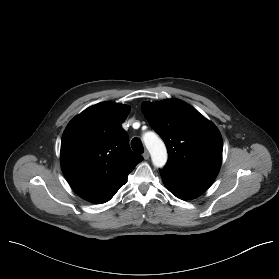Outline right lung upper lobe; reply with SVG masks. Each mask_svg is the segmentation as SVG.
<instances>
[{"instance_id": "right-lung-upper-lobe-1", "label": "right lung upper lobe", "mask_w": 279, "mask_h": 279, "mask_svg": "<svg viewBox=\"0 0 279 279\" xmlns=\"http://www.w3.org/2000/svg\"><path fill=\"white\" fill-rule=\"evenodd\" d=\"M130 108L102 102L85 109L67 125L61 140V168L73 190L89 202L110 196L143 160L129 147L121 123Z\"/></svg>"}]
</instances>
